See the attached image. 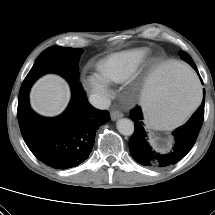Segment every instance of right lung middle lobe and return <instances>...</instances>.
I'll return each mask as SVG.
<instances>
[{
  "mask_svg": "<svg viewBox=\"0 0 215 215\" xmlns=\"http://www.w3.org/2000/svg\"><path fill=\"white\" fill-rule=\"evenodd\" d=\"M80 48L53 46L44 50L34 62L19 92L17 116L22 115L28 106V93L32 84L43 74L58 73L69 82L79 80L77 67Z\"/></svg>",
  "mask_w": 215,
  "mask_h": 215,
  "instance_id": "right-lung-middle-lobe-1",
  "label": "right lung middle lobe"
}]
</instances>
